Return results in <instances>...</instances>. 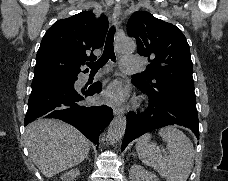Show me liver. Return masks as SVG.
Returning <instances> with one entry per match:
<instances>
[{"instance_id": "1", "label": "liver", "mask_w": 228, "mask_h": 181, "mask_svg": "<svg viewBox=\"0 0 228 181\" xmlns=\"http://www.w3.org/2000/svg\"><path fill=\"white\" fill-rule=\"evenodd\" d=\"M29 157L40 173L51 179L86 159L90 143L75 127L57 119H39L27 125Z\"/></svg>"}]
</instances>
